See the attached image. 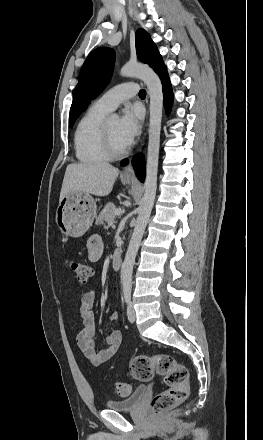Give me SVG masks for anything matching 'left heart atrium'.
I'll return each mask as SVG.
<instances>
[{
  "label": "left heart atrium",
  "instance_id": "39dd6f15",
  "mask_svg": "<svg viewBox=\"0 0 263 440\" xmlns=\"http://www.w3.org/2000/svg\"><path fill=\"white\" fill-rule=\"evenodd\" d=\"M143 114L137 107L126 108L119 119V134L126 146L130 145L138 135Z\"/></svg>",
  "mask_w": 263,
  "mask_h": 440
}]
</instances>
